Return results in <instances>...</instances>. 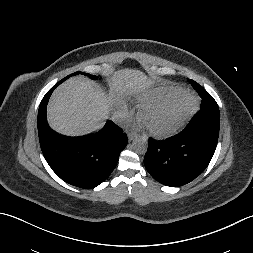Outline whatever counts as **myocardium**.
<instances>
[{
    "mask_svg": "<svg viewBox=\"0 0 253 253\" xmlns=\"http://www.w3.org/2000/svg\"><path fill=\"white\" fill-rule=\"evenodd\" d=\"M179 100H184L186 105L179 115L177 121L170 128L156 130L146 124V118L150 113L168 107ZM198 104V99L193 93L187 90H179L163 100L143 106L139 112V119L151 136L160 139L168 138L176 134L186 125V123L196 112Z\"/></svg>",
    "mask_w": 253,
    "mask_h": 253,
    "instance_id": "obj_1",
    "label": "myocardium"
}]
</instances>
